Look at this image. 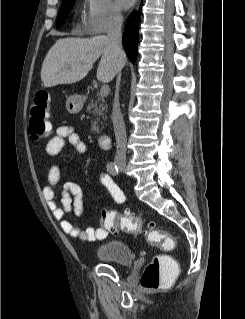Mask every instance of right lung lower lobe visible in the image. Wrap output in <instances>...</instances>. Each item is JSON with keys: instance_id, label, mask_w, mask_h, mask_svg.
Segmentation results:
<instances>
[{"instance_id": "1", "label": "right lung lower lobe", "mask_w": 245, "mask_h": 319, "mask_svg": "<svg viewBox=\"0 0 245 319\" xmlns=\"http://www.w3.org/2000/svg\"><path fill=\"white\" fill-rule=\"evenodd\" d=\"M137 41H138V21L137 14L133 13L125 27V32L123 34V45L127 53L128 58L132 63H134L137 55Z\"/></svg>"}]
</instances>
